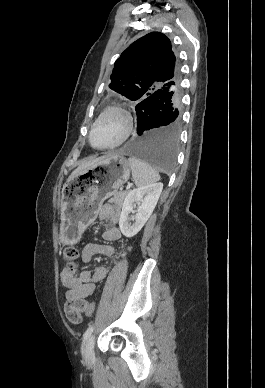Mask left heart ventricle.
<instances>
[{
    "label": "left heart ventricle",
    "mask_w": 265,
    "mask_h": 388,
    "mask_svg": "<svg viewBox=\"0 0 265 388\" xmlns=\"http://www.w3.org/2000/svg\"><path fill=\"white\" fill-rule=\"evenodd\" d=\"M124 121L117 113L106 114L94 129L93 141L98 146L115 143L122 133Z\"/></svg>",
    "instance_id": "1"
}]
</instances>
